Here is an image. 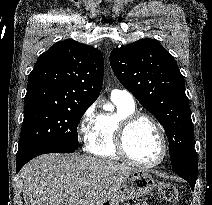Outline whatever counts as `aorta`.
<instances>
[{
    "label": "aorta",
    "mask_w": 212,
    "mask_h": 205,
    "mask_svg": "<svg viewBox=\"0 0 212 205\" xmlns=\"http://www.w3.org/2000/svg\"><path fill=\"white\" fill-rule=\"evenodd\" d=\"M105 109H109V107H105Z\"/></svg>",
    "instance_id": "1"
}]
</instances>
